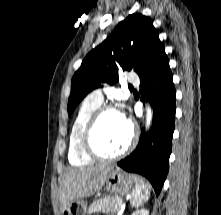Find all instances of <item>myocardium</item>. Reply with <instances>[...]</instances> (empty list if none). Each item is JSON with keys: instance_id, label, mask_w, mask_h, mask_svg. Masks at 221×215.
<instances>
[{"instance_id": "f54148a6", "label": "myocardium", "mask_w": 221, "mask_h": 215, "mask_svg": "<svg viewBox=\"0 0 221 215\" xmlns=\"http://www.w3.org/2000/svg\"><path fill=\"white\" fill-rule=\"evenodd\" d=\"M108 112H118L117 109L108 104L101 105L98 107L89 120L87 121L83 132L81 136V146L83 151L85 152L86 155H88L90 158L95 159V160H105V161H111V160H117L125 155H127L132 148L134 147L136 143V130L134 126L131 123H128L129 128H130V138L127 143V145L118 153L116 154H111V155H106L101 153L94 145L93 142V137H94V132L95 129L100 121V119Z\"/></svg>"}]
</instances>
